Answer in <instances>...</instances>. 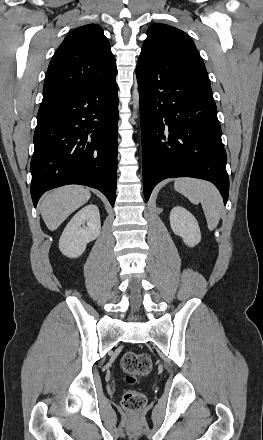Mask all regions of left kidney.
<instances>
[{"label": "left kidney", "instance_id": "obj_1", "mask_svg": "<svg viewBox=\"0 0 263 440\" xmlns=\"http://www.w3.org/2000/svg\"><path fill=\"white\" fill-rule=\"evenodd\" d=\"M170 225L174 234L180 236L189 247H194L201 241L198 222L184 207L176 206L171 210Z\"/></svg>", "mask_w": 263, "mask_h": 440}]
</instances>
